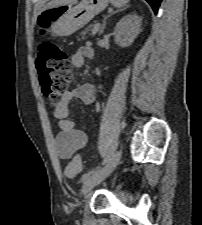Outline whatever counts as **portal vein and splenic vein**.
<instances>
[{
    "instance_id": "1",
    "label": "portal vein and splenic vein",
    "mask_w": 202,
    "mask_h": 225,
    "mask_svg": "<svg viewBox=\"0 0 202 225\" xmlns=\"http://www.w3.org/2000/svg\"><path fill=\"white\" fill-rule=\"evenodd\" d=\"M100 28V23H96L92 29V35H95Z\"/></svg>"
}]
</instances>
